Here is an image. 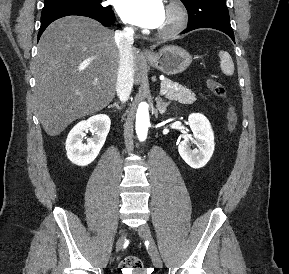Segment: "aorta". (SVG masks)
<instances>
[{"label": "aorta", "instance_id": "1", "mask_svg": "<svg viewBox=\"0 0 289 274\" xmlns=\"http://www.w3.org/2000/svg\"><path fill=\"white\" fill-rule=\"evenodd\" d=\"M150 124L148 105L144 102L139 104L136 113V133L140 141L147 138L148 127Z\"/></svg>", "mask_w": 289, "mask_h": 274}]
</instances>
